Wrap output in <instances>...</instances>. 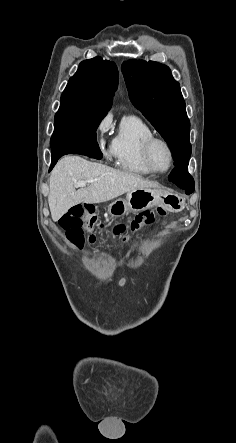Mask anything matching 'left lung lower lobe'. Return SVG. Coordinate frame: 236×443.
Returning a JSON list of instances; mask_svg holds the SVG:
<instances>
[{"label": "left lung lower lobe", "mask_w": 236, "mask_h": 443, "mask_svg": "<svg viewBox=\"0 0 236 443\" xmlns=\"http://www.w3.org/2000/svg\"><path fill=\"white\" fill-rule=\"evenodd\" d=\"M188 164L177 166L169 175V180L185 190L187 195L194 191V179L188 173Z\"/></svg>", "instance_id": "0a47b994"}]
</instances>
